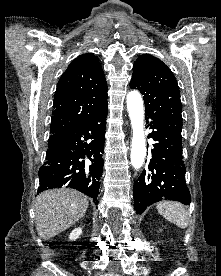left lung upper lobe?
Masks as SVG:
<instances>
[{
	"label": "left lung upper lobe",
	"mask_w": 221,
	"mask_h": 276,
	"mask_svg": "<svg viewBox=\"0 0 221 276\" xmlns=\"http://www.w3.org/2000/svg\"><path fill=\"white\" fill-rule=\"evenodd\" d=\"M130 87L144 95L147 118L182 131L179 87L171 70L161 60L149 54L139 56L133 66Z\"/></svg>",
	"instance_id": "left-lung-upper-lobe-1"
}]
</instances>
